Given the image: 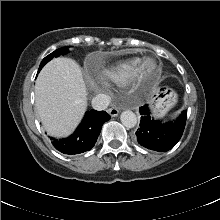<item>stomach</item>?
Here are the masks:
<instances>
[{
    "mask_svg": "<svg viewBox=\"0 0 220 220\" xmlns=\"http://www.w3.org/2000/svg\"><path fill=\"white\" fill-rule=\"evenodd\" d=\"M166 91L154 102V115L156 117H163L176 103V94L170 92L166 94Z\"/></svg>",
    "mask_w": 220,
    "mask_h": 220,
    "instance_id": "0dacf381",
    "label": "stomach"
}]
</instances>
